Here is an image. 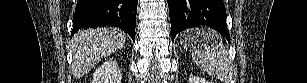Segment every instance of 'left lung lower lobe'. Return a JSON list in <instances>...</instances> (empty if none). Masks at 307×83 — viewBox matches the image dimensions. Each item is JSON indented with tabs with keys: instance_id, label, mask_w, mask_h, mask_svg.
<instances>
[{
	"instance_id": "obj_1",
	"label": "left lung lower lobe",
	"mask_w": 307,
	"mask_h": 83,
	"mask_svg": "<svg viewBox=\"0 0 307 83\" xmlns=\"http://www.w3.org/2000/svg\"><path fill=\"white\" fill-rule=\"evenodd\" d=\"M172 39L178 32L208 26L229 40L223 0H168Z\"/></svg>"
}]
</instances>
